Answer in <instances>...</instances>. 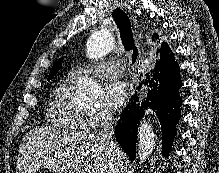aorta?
<instances>
[{
    "mask_svg": "<svg viewBox=\"0 0 219 173\" xmlns=\"http://www.w3.org/2000/svg\"><path fill=\"white\" fill-rule=\"evenodd\" d=\"M114 48V37L107 29H100L92 33L86 43V54L89 59H99L107 55ZM102 92L101 86L90 78H82L77 83L76 93L84 101L96 100ZM137 160L145 162L155 146V135L146 120L140 122L138 128Z\"/></svg>",
    "mask_w": 219,
    "mask_h": 173,
    "instance_id": "obj_1",
    "label": "aorta"
}]
</instances>
